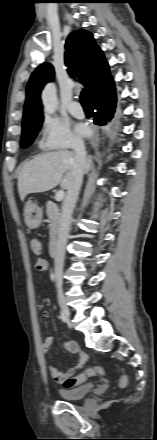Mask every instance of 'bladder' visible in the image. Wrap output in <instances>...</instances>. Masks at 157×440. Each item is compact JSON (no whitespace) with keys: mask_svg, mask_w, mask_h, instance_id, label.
Instances as JSON below:
<instances>
[{"mask_svg":"<svg viewBox=\"0 0 157 440\" xmlns=\"http://www.w3.org/2000/svg\"><path fill=\"white\" fill-rule=\"evenodd\" d=\"M94 388L92 383L84 384L75 388H62L58 394L64 401H78L87 396Z\"/></svg>","mask_w":157,"mask_h":440,"instance_id":"obj_1","label":"bladder"}]
</instances>
